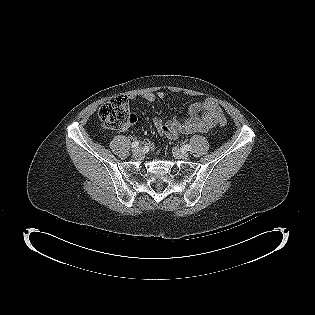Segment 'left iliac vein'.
<instances>
[{"mask_svg": "<svg viewBox=\"0 0 315 315\" xmlns=\"http://www.w3.org/2000/svg\"><path fill=\"white\" fill-rule=\"evenodd\" d=\"M173 154L178 159H187L189 156L187 152L182 151L181 149L177 147L173 148Z\"/></svg>", "mask_w": 315, "mask_h": 315, "instance_id": "1", "label": "left iliac vein"}]
</instances>
